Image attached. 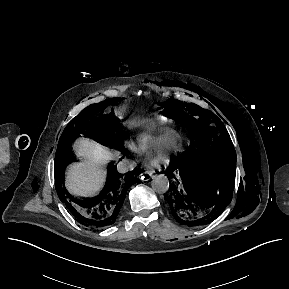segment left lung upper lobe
<instances>
[{
  "label": "left lung upper lobe",
  "instance_id": "1",
  "mask_svg": "<svg viewBox=\"0 0 289 289\" xmlns=\"http://www.w3.org/2000/svg\"><path fill=\"white\" fill-rule=\"evenodd\" d=\"M163 113L183 124L190 134L192 147L206 146L212 150L215 162L226 169L236 161V152L221 120L211 111L196 104L169 99ZM204 144V145H203Z\"/></svg>",
  "mask_w": 289,
  "mask_h": 289
}]
</instances>
